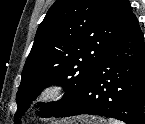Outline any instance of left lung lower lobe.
<instances>
[{"label": "left lung lower lobe", "mask_w": 145, "mask_h": 124, "mask_svg": "<svg viewBox=\"0 0 145 124\" xmlns=\"http://www.w3.org/2000/svg\"><path fill=\"white\" fill-rule=\"evenodd\" d=\"M145 45L135 15L79 95L54 117L92 114L144 124Z\"/></svg>", "instance_id": "obj_1"}]
</instances>
